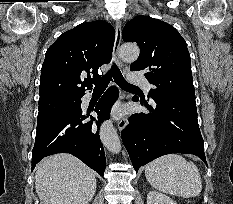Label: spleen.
<instances>
[{
    "mask_svg": "<svg viewBox=\"0 0 233 204\" xmlns=\"http://www.w3.org/2000/svg\"><path fill=\"white\" fill-rule=\"evenodd\" d=\"M147 181L155 189L184 198L196 197L202 191L198 167L183 156H162L145 167Z\"/></svg>",
    "mask_w": 233,
    "mask_h": 204,
    "instance_id": "3e777b00",
    "label": "spleen"
}]
</instances>
